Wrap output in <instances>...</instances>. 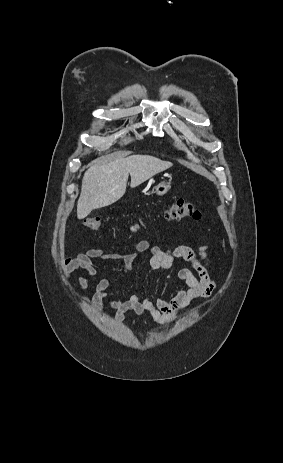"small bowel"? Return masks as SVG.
Here are the masks:
<instances>
[{
  "label": "small bowel",
  "mask_w": 283,
  "mask_h": 463,
  "mask_svg": "<svg viewBox=\"0 0 283 463\" xmlns=\"http://www.w3.org/2000/svg\"><path fill=\"white\" fill-rule=\"evenodd\" d=\"M144 252L150 254L149 264L153 269L168 270L178 259H183L192 265L193 270L189 268L178 270L179 287L172 297L167 299L164 296L152 297L133 293L128 298H111L109 289L112 288L113 281L110 279L101 280L93 296L88 297L86 289L89 280L96 274V264L117 261L126 272H130L134 261ZM63 267L67 276L75 270H84L85 275L78 280L81 297L96 309H100L104 301H109L119 321L124 320L127 311H135L140 316H148L157 324L170 323L192 302L210 297L216 288V281L210 274L207 246L200 247L197 252L184 244L177 245L171 250H163L152 246L144 239L137 242L129 253H110L103 248H89L76 256H66Z\"/></svg>",
  "instance_id": "c3829d8e"
}]
</instances>
